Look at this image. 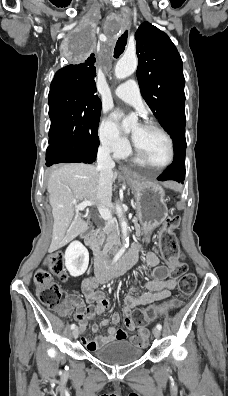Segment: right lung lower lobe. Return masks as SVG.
Wrapping results in <instances>:
<instances>
[{
  "mask_svg": "<svg viewBox=\"0 0 228 396\" xmlns=\"http://www.w3.org/2000/svg\"><path fill=\"white\" fill-rule=\"evenodd\" d=\"M46 162L47 166H51L57 163H79L82 161L60 147L49 146L46 151Z\"/></svg>",
  "mask_w": 228,
  "mask_h": 396,
  "instance_id": "right-lung-lower-lobe-1",
  "label": "right lung lower lobe"
}]
</instances>
